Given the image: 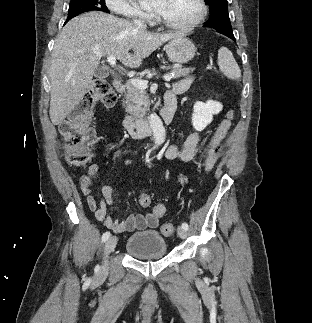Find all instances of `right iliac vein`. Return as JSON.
<instances>
[{
  "instance_id": "63e3f726",
  "label": "right iliac vein",
  "mask_w": 312,
  "mask_h": 323,
  "mask_svg": "<svg viewBox=\"0 0 312 323\" xmlns=\"http://www.w3.org/2000/svg\"><path fill=\"white\" fill-rule=\"evenodd\" d=\"M117 245V238L116 236H111L109 237L106 242H105V255H104V264L100 270V275L104 274L108 270V265H107V257L111 251L115 249Z\"/></svg>"
}]
</instances>
